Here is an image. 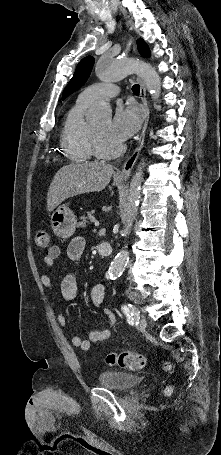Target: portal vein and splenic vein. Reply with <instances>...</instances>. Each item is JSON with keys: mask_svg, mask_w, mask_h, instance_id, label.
Returning <instances> with one entry per match:
<instances>
[{"mask_svg": "<svg viewBox=\"0 0 221 455\" xmlns=\"http://www.w3.org/2000/svg\"><path fill=\"white\" fill-rule=\"evenodd\" d=\"M94 225H95V226H99V221L95 220V221H94Z\"/></svg>", "mask_w": 221, "mask_h": 455, "instance_id": "portal-vein-and-splenic-vein-1", "label": "portal vein and splenic vein"}]
</instances>
